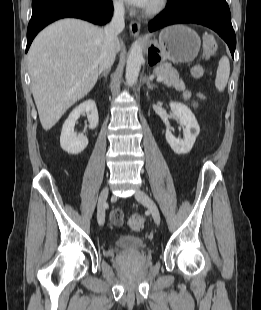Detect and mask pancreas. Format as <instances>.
<instances>
[{
  "label": "pancreas",
  "mask_w": 261,
  "mask_h": 310,
  "mask_svg": "<svg viewBox=\"0 0 261 310\" xmlns=\"http://www.w3.org/2000/svg\"><path fill=\"white\" fill-rule=\"evenodd\" d=\"M154 73L159 77H163V84L168 87H174L177 91H184L185 85L179 78L178 72L168 64L161 65L154 69Z\"/></svg>",
  "instance_id": "cf45deb5"
}]
</instances>
